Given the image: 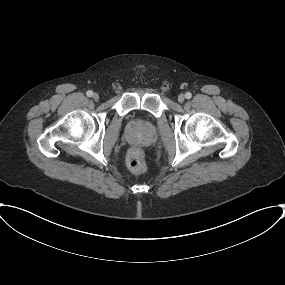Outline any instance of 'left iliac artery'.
Returning <instances> with one entry per match:
<instances>
[{"label": "left iliac artery", "instance_id": "1", "mask_svg": "<svg viewBox=\"0 0 285 285\" xmlns=\"http://www.w3.org/2000/svg\"><path fill=\"white\" fill-rule=\"evenodd\" d=\"M185 97H186L187 99H190V98L192 97V94H191L190 92H187V93L185 94Z\"/></svg>", "mask_w": 285, "mask_h": 285}]
</instances>
